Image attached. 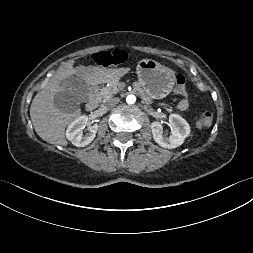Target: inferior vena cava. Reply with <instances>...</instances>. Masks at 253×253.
Segmentation results:
<instances>
[{"mask_svg":"<svg viewBox=\"0 0 253 253\" xmlns=\"http://www.w3.org/2000/svg\"><path fill=\"white\" fill-rule=\"evenodd\" d=\"M119 101H120V99L117 98V97L111 98V99H107V100L104 101L103 106L105 108H112V107L116 106V104H118Z\"/></svg>","mask_w":253,"mask_h":253,"instance_id":"obj_1","label":"inferior vena cava"}]
</instances>
